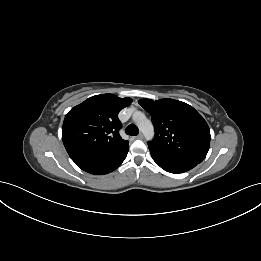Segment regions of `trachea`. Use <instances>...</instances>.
<instances>
[{"instance_id":"1","label":"trachea","mask_w":261,"mask_h":261,"mask_svg":"<svg viewBox=\"0 0 261 261\" xmlns=\"http://www.w3.org/2000/svg\"><path fill=\"white\" fill-rule=\"evenodd\" d=\"M138 133H139V130H138L137 126H135L133 124L127 126V128H126L127 135L136 136V135H138Z\"/></svg>"}]
</instances>
